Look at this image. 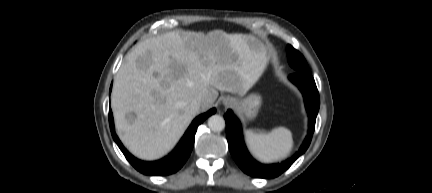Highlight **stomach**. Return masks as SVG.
Masks as SVG:
<instances>
[{
  "instance_id": "obj_1",
  "label": "stomach",
  "mask_w": 432,
  "mask_h": 193,
  "mask_svg": "<svg viewBox=\"0 0 432 193\" xmlns=\"http://www.w3.org/2000/svg\"><path fill=\"white\" fill-rule=\"evenodd\" d=\"M262 98L258 94H250L243 99H234L233 108L245 120H253L261 107Z\"/></svg>"
}]
</instances>
